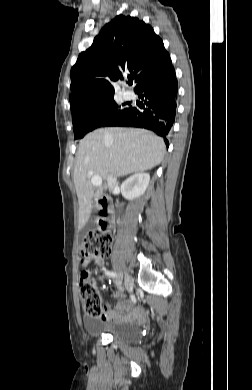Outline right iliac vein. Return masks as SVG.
<instances>
[{"mask_svg":"<svg viewBox=\"0 0 252 390\" xmlns=\"http://www.w3.org/2000/svg\"><path fill=\"white\" fill-rule=\"evenodd\" d=\"M124 282H125L126 290L128 292H131L133 290L134 283L132 277L129 274H125Z\"/></svg>","mask_w":252,"mask_h":390,"instance_id":"63e3f726","label":"right iliac vein"}]
</instances>
